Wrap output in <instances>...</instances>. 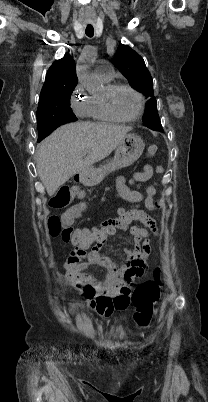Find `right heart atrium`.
I'll return each mask as SVG.
<instances>
[{
  "label": "right heart atrium",
  "instance_id": "right-heart-atrium-1",
  "mask_svg": "<svg viewBox=\"0 0 208 402\" xmlns=\"http://www.w3.org/2000/svg\"><path fill=\"white\" fill-rule=\"evenodd\" d=\"M70 105L80 117H87L91 108V96L86 92L83 85L78 82L70 96Z\"/></svg>",
  "mask_w": 208,
  "mask_h": 402
}]
</instances>
